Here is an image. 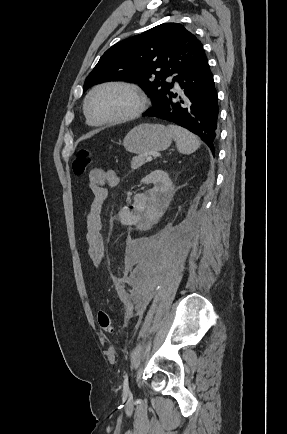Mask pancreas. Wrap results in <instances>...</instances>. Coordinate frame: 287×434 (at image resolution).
Listing matches in <instances>:
<instances>
[{
	"instance_id": "obj_1",
	"label": "pancreas",
	"mask_w": 287,
	"mask_h": 434,
	"mask_svg": "<svg viewBox=\"0 0 287 434\" xmlns=\"http://www.w3.org/2000/svg\"><path fill=\"white\" fill-rule=\"evenodd\" d=\"M145 164V156L139 155L132 158L131 169L136 170Z\"/></svg>"
}]
</instances>
